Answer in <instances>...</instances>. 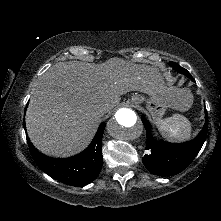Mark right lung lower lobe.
<instances>
[{
	"label": "right lung lower lobe",
	"instance_id": "1",
	"mask_svg": "<svg viewBox=\"0 0 221 221\" xmlns=\"http://www.w3.org/2000/svg\"><path fill=\"white\" fill-rule=\"evenodd\" d=\"M104 128L105 124L102 123L88 148L69 158L47 157L32 145L28 137L27 143L33 159L42 171L64 184L82 186L95 180L101 171Z\"/></svg>",
	"mask_w": 221,
	"mask_h": 221
}]
</instances>
